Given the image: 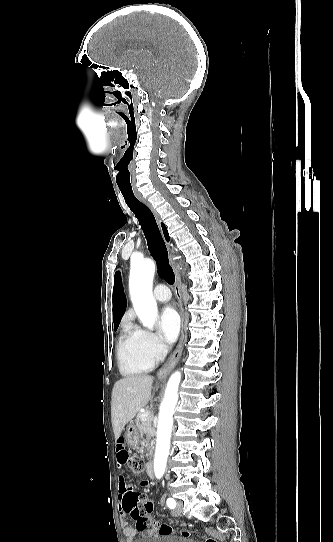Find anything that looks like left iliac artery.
Listing matches in <instances>:
<instances>
[{
  "mask_svg": "<svg viewBox=\"0 0 333 542\" xmlns=\"http://www.w3.org/2000/svg\"><path fill=\"white\" fill-rule=\"evenodd\" d=\"M167 505H168L169 508L173 509V508H175V506H176V502H175L174 499L168 498V499H167Z\"/></svg>",
  "mask_w": 333,
  "mask_h": 542,
  "instance_id": "obj_1",
  "label": "left iliac artery"
}]
</instances>
